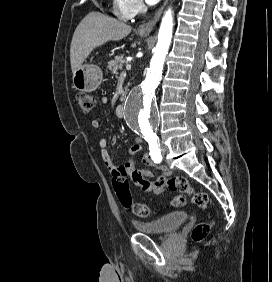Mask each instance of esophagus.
Segmentation results:
<instances>
[{
	"label": "esophagus",
	"mask_w": 272,
	"mask_h": 282,
	"mask_svg": "<svg viewBox=\"0 0 272 282\" xmlns=\"http://www.w3.org/2000/svg\"><path fill=\"white\" fill-rule=\"evenodd\" d=\"M168 0H165L163 5L159 8V10L156 12L155 16L152 20L142 23L138 27V33L141 35H149L152 31L153 27L156 25V23L159 21L161 14L163 12L164 7L166 6Z\"/></svg>",
	"instance_id": "esophagus-1"
}]
</instances>
